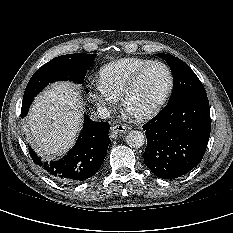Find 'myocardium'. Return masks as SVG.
Segmentation results:
<instances>
[{"label":"myocardium","mask_w":233,"mask_h":233,"mask_svg":"<svg viewBox=\"0 0 233 233\" xmlns=\"http://www.w3.org/2000/svg\"><path fill=\"white\" fill-rule=\"evenodd\" d=\"M153 66H161V67L165 68V70L167 71L168 76H169V83H168L167 89L164 92V94L161 96V98L154 105H152L150 108H148L144 111H141V112H137V113L131 112L127 106L128 97L131 94V92L134 90V88L137 86L142 75L149 68H151ZM173 87H174V75H173L171 68L167 64H165L161 61H152V62L142 66L140 69H138L134 73V75L130 78V80L128 81L126 86L124 87V89L120 95V100H121V105L123 107V110L130 117H132L136 120H145V119L151 118L152 116L157 114L159 112V110L163 107V105L165 104V102L169 98V96L173 90Z\"/></svg>","instance_id":"1"}]
</instances>
